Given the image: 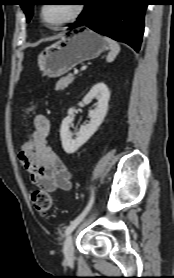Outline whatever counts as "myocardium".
Instances as JSON below:
<instances>
[{"mask_svg": "<svg viewBox=\"0 0 174 278\" xmlns=\"http://www.w3.org/2000/svg\"><path fill=\"white\" fill-rule=\"evenodd\" d=\"M44 6L45 5H41L40 6V9H39V17H40V20L41 22L48 28L52 29V30H58V29H61L62 27L74 22L83 12L84 10V4L82 3H77L75 4V8H74V11L73 13L67 18L65 19L64 21L56 24V25H50L48 24L45 19H44V16H43V9H44Z\"/></svg>", "mask_w": 174, "mask_h": 278, "instance_id": "1", "label": "myocardium"}]
</instances>
